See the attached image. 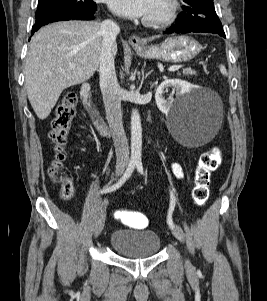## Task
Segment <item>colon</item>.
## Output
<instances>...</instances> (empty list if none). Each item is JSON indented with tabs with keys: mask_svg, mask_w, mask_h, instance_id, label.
Listing matches in <instances>:
<instances>
[{
	"mask_svg": "<svg viewBox=\"0 0 267 301\" xmlns=\"http://www.w3.org/2000/svg\"><path fill=\"white\" fill-rule=\"evenodd\" d=\"M77 96L74 93H67L56 109L55 118L52 121L49 133L50 140L55 150L54 159L49 167V176L61 186L63 199L69 200L73 196L74 187L72 182L63 177L59 170L65 159L64 147L67 142L72 119L76 113ZM222 154L218 148H214L204 153L195 169L194 186L192 198L194 202L202 206L206 204L210 195L211 174L221 165ZM113 217L125 224L134 227H143L147 224L146 217L138 212L127 209H115L112 211Z\"/></svg>",
	"mask_w": 267,
	"mask_h": 301,
	"instance_id": "obj_1",
	"label": "colon"
}]
</instances>
